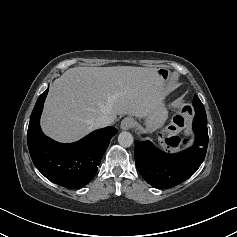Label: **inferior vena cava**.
Listing matches in <instances>:
<instances>
[{"instance_id": "obj_1", "label": "inferior vena cava", "mask_w": 237, "mask_h": 237, "mask_svg": "<svg viewBox=\"0 0 237 237\" xmlns=\"http://www.w3.org/2000/svg\"><path fill=\"white\" fill-rule=\"evenodd\" d=\"M112 123V120L108 116H99L93 121L95 128H102L109 126Z\"/></svg>"}]
</instances>
